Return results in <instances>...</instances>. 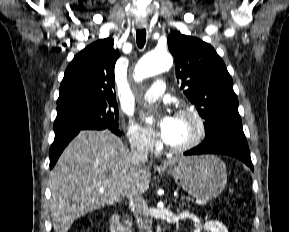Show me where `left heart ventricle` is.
Here are the masks:
<instances>
[{"mask_svg": "<svg viewBox=\"0 0 289 232\" xmlns=\"http://www.w3.org/2000/svg\"><path fill=\"white\" fill-rule=\"evenodd\" d=\"M197 131L195 121L189 116L176 117L175 135L170 143L172 146H182L193 139Z\"/></svg>", "mask_w": 289, "mask_h": 232, "instance_id": "obj_1", "label": "left heart ventricle"}]
</instances>
